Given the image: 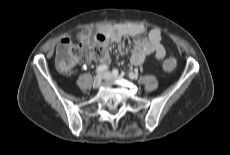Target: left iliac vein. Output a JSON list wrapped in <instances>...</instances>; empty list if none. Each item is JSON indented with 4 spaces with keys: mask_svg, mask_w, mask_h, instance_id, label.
Wrapping results in <instances>:
<instances>
[{
    "mask_svg": "<svg viewBox=\"0 0 230 155\" xmlns=\"http://www.w3.org/2000/svg\"><path fill=\"white\" fill-rule=\"evenodd\" d=\"M103 78L106 79V80H110V79H113L114 76L112 75L111 72H105V73L103 74Z\"/></svg>",
    "mask_w": 230,
    "mask_h": 155,
    "instance_id": "obj_1",
    "label": "left iliac vein"
}]
</instances>
